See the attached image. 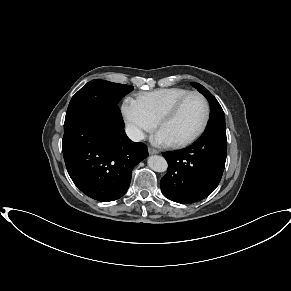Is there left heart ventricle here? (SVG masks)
<instances>
[{"instance_id": "left-heart-ventricle-1", "label": "left heart ventricle", "mask_w": 291, "mask_h": 291, "mask_svg": "<svg viewBox=\"0 0 291 291\" xmlns=\"http://www.w3.org/2000/svg\"><path fill=\"white\" fill-rule=\"evenodd\" d=\"M205 115V104L198 96H191L181 107L178 114L166 122L160 130L171 143L185 140L201 126Z\"/></svg>"}]
</instances>
